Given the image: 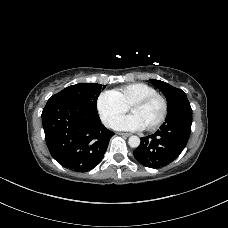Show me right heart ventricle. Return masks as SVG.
Wrapping results in <instances>:
<instances>
[{
  "label": "right heart ventricle",
  "mask_w": 228,
  "mask_h": 228,
  "mask_svg": "<svg viewBox=\"0 0 228 228\" xmlns=\"http://www.w3.org/2000/svg\"><path fill=\"white\" fill-rule=\"evenodd\" d=\"M113 92L126 107H129L136 100L157 93V90L146 83H132L116 89Z\"/></svg>",
  "instance_id": "obj_1"
}]
</instances>
